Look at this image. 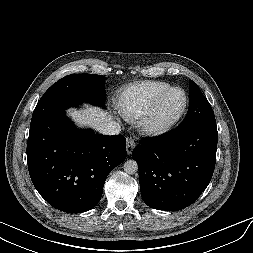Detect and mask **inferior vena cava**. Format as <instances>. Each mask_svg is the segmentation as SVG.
<instances>
[{
	"label": "inferior vena cava",
	"instance_id": "1",
	"mask_svg": "<svg viewBox=\"0 0 253 253\" xmlns=\"http://www.w3.org/2000/svg\"><path fill=\"white\" fill-rule=\"evenodd\" d=\"M120 128V125L115 121H106L97 126V130L105 135H118L121 130Z\"/></svg>",
	"mask_w": 253,
	"mask_h": 253
}]
</instances>
